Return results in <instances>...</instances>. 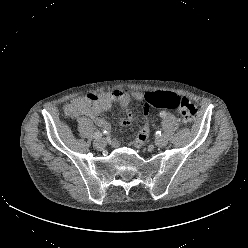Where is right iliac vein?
Wrapping results in <instances>:
<instances>
[{
  "label": "right iliac vein",
  "mask_w": 248,
  "mask_h": 248,
  "mask_svg": "<svg viewBox=\"0 0 248 248\" xmlns=\"http://www.w3.org/2000/svg\"><path fill=\"white\" fill-rule=\"evenodd\" d=\"M94 146L97 149H103L105 147V140L103 138H97L94 140Z\"/></svg>",
  "instance_id": "63e3f726"
}]
</instances>
